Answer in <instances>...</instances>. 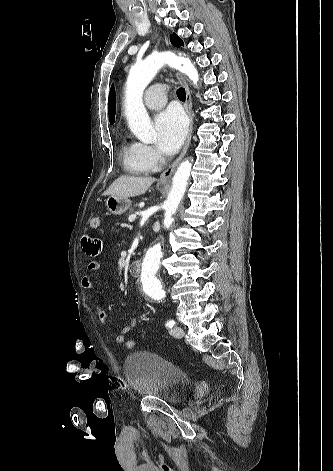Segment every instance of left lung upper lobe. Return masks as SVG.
<instances>
[{"label": "left lung upper lobe", "mask_w": 333, "mask_h": 471, "mask_svg": "<svg viewBox=\"0 0 333 471\" xmlns=\"http://www.w3.org/2000/svg\"><path fill=\"white\" fill-rule=\"evenodd\" d=\"M170 41L173 46H176V47L183 46V41L175 33L170 35Z\"/></svg>", "instance_id": "1"}]
</instances>
